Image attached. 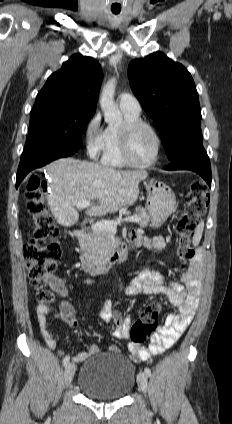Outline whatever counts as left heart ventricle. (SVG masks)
I'll use <instances>...</instances> for the list:
<instances>
[{
  "mask_svg": "<svg viewBox=\"0 0 232 424\" xmlns=\"http://www.w3.org/2000/svg\"><path fill=\"white\" fill-rule=\"evenodd\" d=\"M156 152V139L154 135L145 128L139 129L132 137L131 156L139 163L150 161Z\"/></svg>",
  "mask_w": 232,
  "mask_h": 424,
  "instance_id": "b2bd125f",
  "label": "left heart ventricle"
}]
</instances>
